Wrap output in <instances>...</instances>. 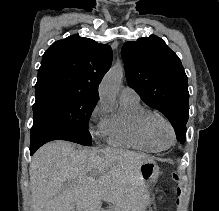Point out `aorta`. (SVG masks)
<instances>
[{
	"label": "aorta",
	"instance_id": "obj_1",
	"mask_svg": "<svg viewBox=\"0 0 219 211\" xmlns=\"http://www.w3.org/2000/svg\"><path fill=\"white\" fill-rule=\"evenodd\" d=\"M123 76L124 67L120 62H116L107 72L100 84L99 93L103 100L108 102L115 100Z\"/></svg>",
	"mask_w": 219,
	"mask_h": 211
}]
</instances>
